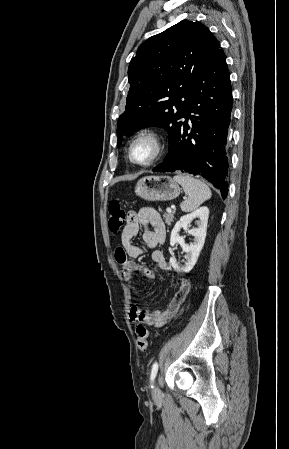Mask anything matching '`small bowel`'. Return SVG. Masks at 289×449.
<instances>
[{
    "label": "small bowel",
    "mask_w": 289,
    "mask_h": 449,
    "mask_svg": "<svg viewBox=\"0 0 289 449\" xmlns=\"http://www.w3.org/2000/svg\"><path fill=\"white\" fill-rule=\"evenodd\" d=\"M140 228L143 229V245L141 246L134 243V238ZM165 237V224L156 210L144 207L136 213L132 212L129 214L121 235V246L115 250V259L120 264L122 275L126 281L132 282L133 275L136 272H140L148 279L155 277L152 269L135 262L136 258L148 251H151L152 260L159 269L164 271L171 269L164 254L156 249L157 246L164 243ZM189 289L190 283L188 280H181L174 297L165 310L143 311L135 305L130 309V320L134 323L145 324L155 328L164 326L178 311Z\"/></svg>",
    "instance_id": "small-bowel-1"
}]
</instances>
